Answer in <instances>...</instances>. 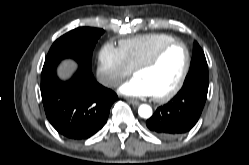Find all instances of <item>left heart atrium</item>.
Returning a JSON list of instances; mask_svg holds the SVG:
<instances>
[{
  "mask_svg": "<svg viewBox=\"0 0 249 165\" xmlns=\"http://www.w3.org/2000/svg\"><path fill=\"white\" fill-rule=\"evenodd\" d=\"M119 91L130 97H150L153 96L151 90L140 77H133L129 81L123 83Z\"/></svg>",
  "mask_w": 249,
  "mask_h": 165,
  "instance_id": "39dd6f15",
  "label": "left heart atrium"
}]
</instances>
